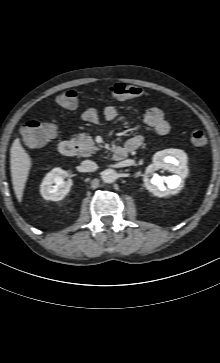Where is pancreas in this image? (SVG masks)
<instances>
[{
    "mask_svg": "<svg viewBox=\"0 0 220 363\" xmlns=\"http://www.w3.org/2000/svg\"><path fill=\"white\" fill-rule=\"evenodd\" d=\"M74 141L79 146L80 155L83 157H89L99 150L93 139L85 134H79L74 138Z\"/></svg>",
    "mask_w": 220,
    "mask_h": 363,
    "instance_id": "cf45deb5",
    "label": "pancreas"
}]
</instances>
